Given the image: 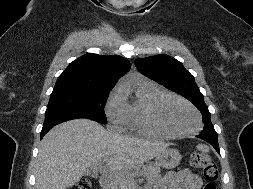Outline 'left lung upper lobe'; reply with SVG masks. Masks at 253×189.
<instances>
[{"label": "left lung upper lobe", "instance_id": "obj_1", "mask_svg": "<svg viewBox=\"0 0 253 189\" xmlns=\"http://www.w3.org/2000/svg\"><path fill=\"white\" fill-rule=\"evenodd\" d=\"M135 65L143 75L191 101L204 116L205 124L201 133L217 135L203 95L196 85L194 77L181 62L167 55H156L136 59Z\"/></svg>", "mask_w": 253, "mask_h": 189}]
</instances>
